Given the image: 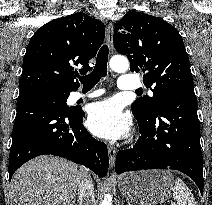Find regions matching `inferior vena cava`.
<instances>
[{
	"label": "inferior vena cava",
	"instance_id": "1",
	"mask_svg": "<svg viewBox=\"0 0 212 205\" xmlns=\"http://www.w3.org/2000/svg\"><path fill=\"white\" fill-rule=\"evenodd\" d=\"M77 185L79 205H96L93 182L85 168L78 172Z\"/></svg>",
	"mask_w": 212,
	"mask_h": 205
}]
</instances>
